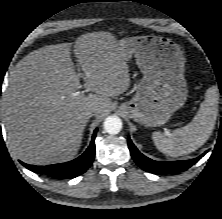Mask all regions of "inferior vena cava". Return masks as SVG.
Instances as JSON below:
<instances>
[{"label":"inferior vena cava","mask_w":222,"mask_h":219,"mask_svg":"<svg viewBox=\"0 0 222 219\" xmlns=\"http://www.w3.org/2000/svg\"><path fill=\"white\" fill-rule=\"evenodd\" d=\"M97 111H98V108L94 107V108L89 109L85 114L88 116H93L97 113Z\"/></svg>","instance_id":"1"}]
</instances>
